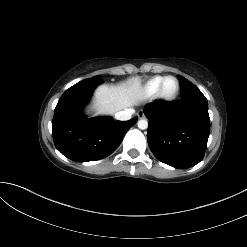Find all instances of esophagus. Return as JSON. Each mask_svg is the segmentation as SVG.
<instances>
[{"label": "esophagus", "instance_id": "34e87169", "mask_svg": "<svg viewBox=\"0 0 247 247\" xmlns=\"http://www.w3.org/2000/svg\"><path fill=\"white\" fill-rule=\"evenodd\" d=\"M137 116H138V118H140V119L145 118V114H144L143 111H138V112H137Z\"/></svg>", "mask_w": 247, "mask_h": 247}]
</instances>
